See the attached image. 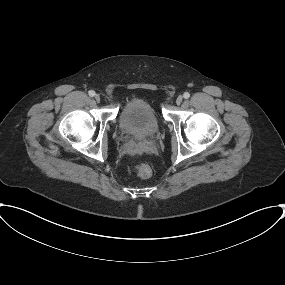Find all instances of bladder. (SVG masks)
Segmentation results:
<instances>
[{"mask_svg":"<svg viewBox=\"0 0 285 285\" xmlns=\"http://www.w3.org/2000/svg\"><path fill=\"white\" fill-rule=\"evenodd\" d=\"M119 121L125 132L141 137L153 135L159 127L152 105L141 97H134L125 103Z\"/></svg>","mask_w":285,"mask_h":285,"instance_id":"bladder-1","label":"bladder"}]
</instances>
